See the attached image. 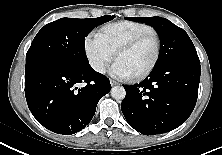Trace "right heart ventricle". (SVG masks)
Masks as SVG:
<instances>
[{
  "label": "right heart ventricle",
  "mask_w": 222,
  "mask_h": 155,
  "mask_svg": "<svg viewBox=\"0 0 222 155\" xmlns=\"http://www.w3.org/2000/svg\"><path fill=\"white\" fill-rule=\"evenodd\" d=\"M151 31H155V29L143 22L120 21L104 26L100 31V35L110 48L116 52L120 46L136 36Z\"/></svg>",
  "instance_id": "1"
}]
</instances>
